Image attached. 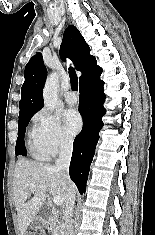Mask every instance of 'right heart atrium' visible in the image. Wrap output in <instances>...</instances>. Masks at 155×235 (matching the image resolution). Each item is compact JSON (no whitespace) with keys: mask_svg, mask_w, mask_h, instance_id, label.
Instances as JSON below:
<instances>
[{"mask_svg":"<svg viewBox=\"0 0 155 235\" xmlns=\"http://www.w3.org/2000/svg\"><path fill=\"white\" fill-rule=\"evenodd\" d=\"M32 135L48 156L65 153L73 146V138L65 131L60 119L47 110L35 114Z\"/></svg>","mask_w":155,"mask_h":235,"instance_id":"d8ad5b80","label":"right heart atrium"}]
</instances>
